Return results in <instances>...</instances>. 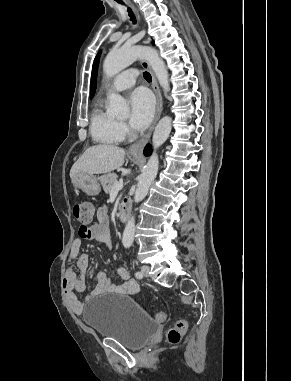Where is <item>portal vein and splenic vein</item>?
Instances as JSON below:
<instances>
[{
  "instance_id": "18ae733b",
  "label": "portal vein and splenic vein",
  "mask_w": 291,
  "mask_h": 381,
  "mask_svg": "<svg viewBox=\"0 0 291 381\" xmlns=\"http://www.w3.org/2000/svg\"><path fill=\"white\" fill-rule=\"evenodd\" d=\"M123 188V181L120 180L119 182H116L113 187H112V190H111V193H114V192H118L119 190H121Z\"/></svg>"
}]
</instances>
